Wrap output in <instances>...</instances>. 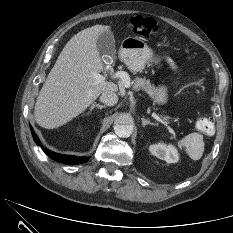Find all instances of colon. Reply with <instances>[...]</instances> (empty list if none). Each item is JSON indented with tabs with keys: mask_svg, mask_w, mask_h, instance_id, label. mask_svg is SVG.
Instances as JSON below:
<instances>
[{
	"mask_svg": "<svg viewBox=\"0 0 233 233\" xmlns=\"http://www.w3.org/2000/svg\"><path fill=\"white\" fill-rule=\"evenodd\" d=\"M125 22L131 28V30L139 36L149 37L158 31L157 22L150 17L133 16L126 19ZM196 128L203 134H213L215 130L213 118L209 115L200 116L196 121Z\"/></svg>",
	"mask_w": 233,
	"mask_h": 233,
	"instance_id": "colon-1",
	"label": "colon"
}]
</instances>
